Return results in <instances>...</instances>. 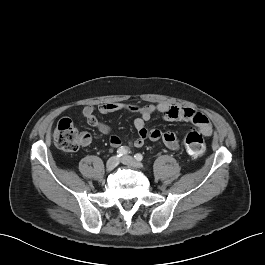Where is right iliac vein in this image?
<instances>
[{
  "instance_id": "1",
  "label": "right iliac vein",
  "mask_w": 265,
  "mask_h": 265,
  "mask_svg": "<svg viewBox=\"0 0 265 265\" xmlns=\"http://www.w3.org/2000/svg\"><path fill=\"white\" fill-rule=\"evenodd\" d=\"M119 164V158L117 156H112L108 159L106 163V169L107 171H112L114 168H116Z\"/></svg>"
}]
</instances>
